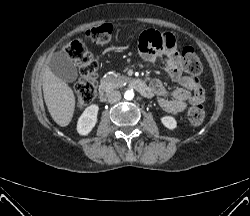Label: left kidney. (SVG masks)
Returning a JSON list of instances; mask_svg holds the SVG:
<instances>
[{
	"mask_svg": "<svg viewBox=\"0 0 250 216\" xmlns=\"http://www.w3.org/2000/svg\"><path fill=\"white\" fill-rule=\"evenodd\" d=\"M161 122L169 130H174L177 127V122L172 116L162 117Z\"/></svg>",
	"mask_w": 250,
	"mask_h": 216,
	"instance_id": "5707ae66",
	"label": "left kidney"
}]
</instances>
